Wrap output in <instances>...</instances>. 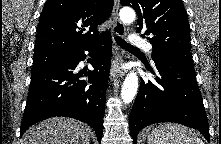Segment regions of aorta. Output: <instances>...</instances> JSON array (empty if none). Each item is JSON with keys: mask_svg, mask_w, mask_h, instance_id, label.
Segmentation results:
<instances>
[{"mask_svg": "<svg viewBox=\"0 0 221 144\" xmlns=\"http://www.w3.org/2000/svg\"><path fill=\"white\" fill-rule=\"evenodd\" d=\"M135 11L132 8L125 7L120 11V19L123 23L129 24L135 20ZM138 89V76L135 72H130L122 85L121 99L125 104L132 102Z\"/></svg>", "mask_w": 221, "mask_h": 144, "instance_id": "obj_1", "label": "aorta"}]
</instances>
